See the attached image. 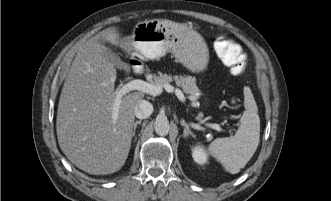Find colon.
Returning <instances> with one entry per match:
<instances>
[{
	"mask_svg": "<svg viewBox=\"0 0 331 201\" xmlns=\"http://www.w3.org/2000/svg\"><path fill=\"white\" fill-rule=\"evenodd\" d=\"M222 62L229 67L232 75H240L246 67V56L242 48L228 37H220L215 45Z\"/></svg>",
	"mask_w": 331,
	"mask_h": 201,
	"instance_id": "5ec220e1",
	"label": "colon"
}]
</instances>
